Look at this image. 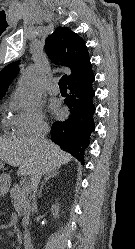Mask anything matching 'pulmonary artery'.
I'll return each instance as SVG.
<instances>
[{"label":"pulmonary artery","instance_id":"obj_1","mask_svg":"<svg viewBox=\"0 0 135 249\" xmlns=\"http://www.w3.org/2000/svg\"><path fill=\"white\" fill-rule=\"evenodd\" d=\"M60 89L59 86L57 84L56 81L52 82L49 86H48V92L51 95H57L59 93Z\"/></svg>","mask_w":135,"mask_h":249}]
</instances>
